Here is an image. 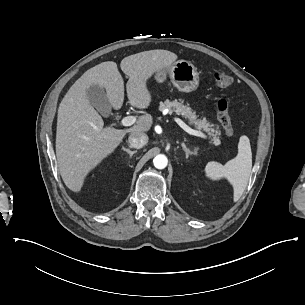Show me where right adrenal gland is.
I'll return each mask as SVG.
<instances>
[{
  "instance_id": "right-adrenal-gland-1",
  "label": "right adrenal gland",
  "mask_w": 305,
  "mask_h": 305,
  "mask_svg": "<svg viewBox=\"0 0 305 305\" xmlns=\"http://www.w3.org/2000/svg\"><path fill=\"white\" fill-rule=\"evenodd\" d=\"M122 151L126 152L129 156V160H131L133 154L137 153V150L135 151H130L129 149H123Z\"/></svg>"
}]
</instances>
